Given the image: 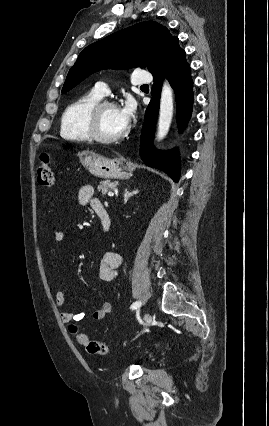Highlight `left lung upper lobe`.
Masks as SVG:
<instances>
[{
    "label": "left lung upper lobe",
    "instance_id": "1",
    "mask_svg": "<svg viewBox=\"0 0 269 426\" xmlns=\"http://www.w3.org/2000/svg\"><path fill=\"white\" fill-rule=\"evenodd\" d=\"M176 37L157 22L146 21L87 46L70 69L62 93L102 69L147 67L150 70Z\"/></svg>",
    "mask_w": 269,
    "mask_h": 426
}]
</instances>
